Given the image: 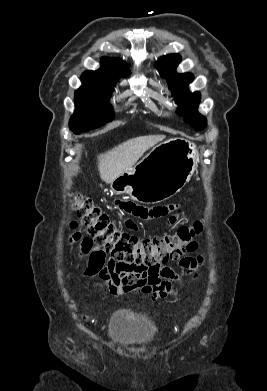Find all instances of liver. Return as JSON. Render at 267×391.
<instances>
[{
    "label": "liver",
    "mask_w": 267,
    "mask_h": 391,
    "mask_svg": "<svg viewBox=\"0 0 267 391\" xmlns=\"http://www.w3.org/2000/svg\"><path fill=\"white\" fill-rule=\"evenodd\" d=\"M165 139V135L140 136L123 142L112 150L98 156L100 177L111 184L127 172L151 147Z\"/></svg>",
    "instance_id": "liver-1"
}]
</instances>
